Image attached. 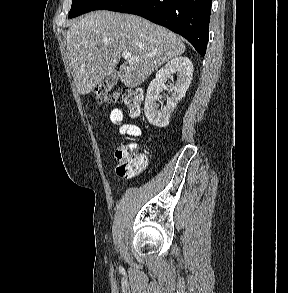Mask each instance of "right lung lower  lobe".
I'll list each match as a JSON object with an SVG mask.
<instances>
[{
  "label": "right lung lower lobe",
  "mask_w": 288,
  "mask_h": 293,
  "mask_svg": "<svg viewBox=\"0 0 288 293\" xmlns=\"http://www.w3.org/2000/svg\"><path fill=\"white\" fill-rule=\"evenodd\" d=\"M212 0H119L106 10L142 16L185 37L204 56Z\"/></svg>",
  "instance_id": "1"
}]
</instances>
